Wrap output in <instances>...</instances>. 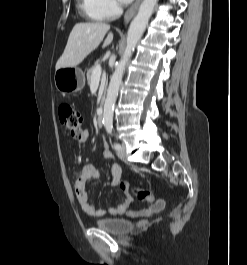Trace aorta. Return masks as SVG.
Here are the masks:
<instances>
[{"label": "aorta", "mask_w": 247, "mask_h": 265, "mask_svg": "<svg viewBox=\"0 0 247 265\" xmlns=\"http://www.w3.org/2000/svg\"><path fill=\"white\" fill-rule=\"evenodd\" d=\"M157 2L158 0H143L137 15L130 24L124 54L115 68L107 90L103 112V124L105 126H111L113 123L114 105L122 82L125 66L130 60L138 41L141 39Z\"/></svg>", "instance_id": "1"}]
</instances>
